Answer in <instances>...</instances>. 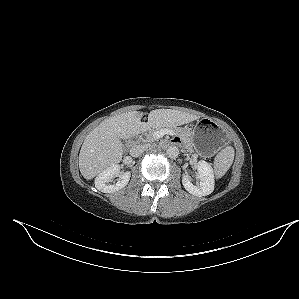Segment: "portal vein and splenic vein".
<instances>
[{
  "mask_svg": "<svg viewBox=\"0 0 299 299\" xmlns=\"http://www.w3.org/2000/svg\"><path fill=\"white\" fill-rule=\"evenodd\" d=\"M166 134L173 135V131L170 129H161L154 133V137L157 140V139L162 138Z\"/></svg>",
  "mask_w": 299,
  "mask_h": 299,
  "instance_id": "1",
  "label": "portal vein and splenic vein"
}]
</instances>
